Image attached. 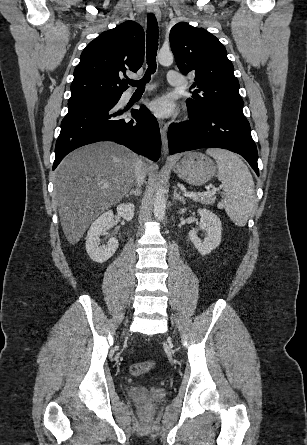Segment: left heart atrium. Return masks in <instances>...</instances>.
<instances>
[{"label":"left heart atrium","mask_w":307,"mask_h":445,"mask_svg":"<svg viewBox=\"0 0 307 445\" xmlns=\"http://www.w3.org/2000/svg\"><path fill=\"white\" fill-rule=\"evenodd\" d=\"M149 109L158 117H168L173 112V104L168 96H162L153 100Z\"/></svg>","instance_id":"obj_1"}]
</instances>
